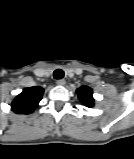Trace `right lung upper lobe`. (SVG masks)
Instances as JSON below:
<instances>
[{"label": "right lung upper lobe", "instance_id": "obj_1", "mask_svg": "<svg viewBox=\"0 0 134 159\" xmlns=\"http://www.w3.org/2000/svg\"><path fill=\"white\" fill-rule=\"evenodd\" d=\"M43 89L40 87H31L25 89L17 96L14 102V107L18 113H30L41 100Z\"/></svg>", "mask_w": 134, "mask_h": 159}]
</instances>
